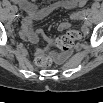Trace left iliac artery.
Segmentation results:
<instances>
[{"label": "left iliac artery", "instance_id": "left-iliac-artery-1", "mask_svg": "<svg viewBox=\"0 0 103 103\" xmlns=\"http://www.w3.org/2000/svg\"><path fill=\"white\" fill-rule=\"evenodd\" d=\"M87 16L89 18H93L94 17L93 12L90 9L87 11Z\"/></svg>", "mask_w": 103, "mask_h": 103}]
</instances>
